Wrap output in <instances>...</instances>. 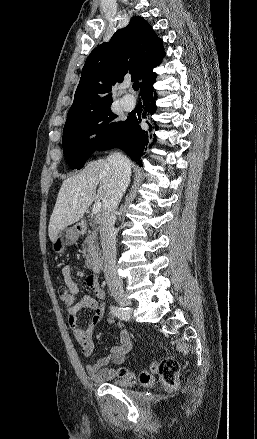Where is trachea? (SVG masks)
Here are the masks:
<instances>
[{
	"label": "trachea",
	"instance_id": "trachea-1",
	"mask_svg": "<svg viewBox=\"0 0 257 439\" xmlns=\"http://www.w3.org/2000/svg\"><path fill=\"white\" fill-rule=\"evenodd\" d=\"M133 89H134L135 91H138V90H139V82H138V81H135V82L133 83Z\"/></svg>",
	"mask_w": 257,
	"mask_h": 439
}]
</instances>
